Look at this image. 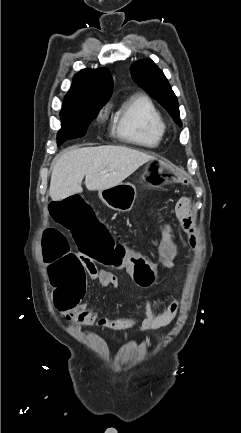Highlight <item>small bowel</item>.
Listing matches in <instances>:
<instances>
[{
  "instance_id": "obj_1",
  "label": "small bowel",
  "mask_w": 241,
  "mask_h": 433,
  "mask_svg": "<svg viewBox=\"0 0 241 433\" xmlns=\"http://www.w3.org/2000/svg\"><path fill=\"white\" fill-rule=\"evenodd\" d=\"M176 216L180 228L188 236V243L192 248L197 246L195 233V217L191 209V201L188 197H181L175 207ZM167 229H172L167 225ZM174 251L161 252L158 250V260L150 261V267L156 273L172 266ZM82 267L87 270V275L94 278L103 287L117 288L119 280L117 275L106 267H97L90 257L79 255ZM178 311V302L173 301L159 314H156L151 303H146L144 313L139 317L108 318L100 316V313L90 308L87 304L75 305L74 312H62L63 316L72 324L80 327L98 326L101 329H126L135 326L140 327L141 332L159 329L170 324Z\"/></svg>"
}]
</instances>
